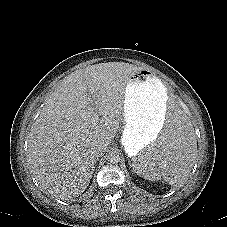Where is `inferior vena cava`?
Instances as JSON below:
<instances>
[{
    "label": "inferior vena cava",
    "mask_w": 227,
    "mask_h": 227,
    "mask_svg": "<svg viewBox=\"0 0 227 227\" xmlns=\"http://www.w3.org/2000/svg\"><path fill=\"white\" fill-rule=\"evenodd\" d=\"M106 149H107V145L105 143H99V144L94 146L93 155L96 158H99V157L103 156V154L105 153Z\"/></svg>",
    "instance_id": "obj_1"
}]
</instances>
